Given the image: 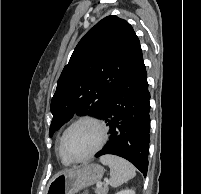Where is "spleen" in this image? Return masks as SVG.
<instances>
[{
    "label": "spleen",
    "mask_w": 201,
    "mask_h": 194,
    "mask_svg": "<svg viewBox=\"0 0 201 194\" xmlns=\"http://www.w3.org/2000/svg\"><path fill=\"white\" fill-rule=\"evenodd\" d=\"M100 163L110 167L109 184L118 187L135 177V168L131 163L114 155H104L99 158Z\"/></svg>",
    "instance_id": "obj_1"
}]
</instances>
